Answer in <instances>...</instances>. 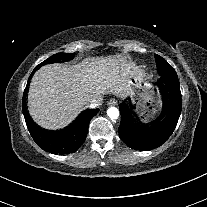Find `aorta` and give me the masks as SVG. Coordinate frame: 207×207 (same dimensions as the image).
Returning a JSON list of instances; mask_svg holds the SVG:
<instances>
[{
	"instance_id": "obj_1",
	"label": "aorta",
	"mask_w": 207,
	"mask_h": 207,
	"mask_svg": "<svg viewBox=\"0 0 207 207\" xmlns=\"http://www.w3.org/2000/svg\"><path fill=\"white\" fill-rule=\"evenodd\" d=\"M107 115L111 120H115L119 117V110L116 107H110L107 110Z\"/></svg>"
}]
</instances>
